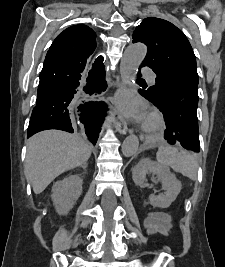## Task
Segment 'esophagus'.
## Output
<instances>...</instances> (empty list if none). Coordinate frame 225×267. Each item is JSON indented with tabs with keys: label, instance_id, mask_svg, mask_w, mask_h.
Masks as SVG:
<instances>
[{
	"label": "esophagus",
	"instance_id": "obj_1",
	"mask_svg": "<svg viewBox=\"0 0 225 267\" xmlns=\"http://www.w3.org/2000/svg\"><path fill=\"white\" fill-rule=\"evenodd\" d=\"M123 87H124L123 82L120 80H117V82H116L117 92L122 90ZM112 113H113V116H114L115 121H116L117 130L121 134H126L128 132L127 123H126L125 119L123 118V116L121 115V113L119 112V110L117 109V107L114 106L112 108Z\"/></svg>",
	"mask_w": 225,
	"mask_h": 267
}]
</instances>
